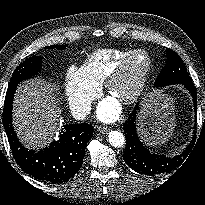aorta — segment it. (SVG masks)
I'll return each mask as SVG.
<instances>
[{"label": "aorta", "mask_w": 205, "mask_h": 205, "mask_svg": "<svg viewBox=\"0 0 205 205\" xmlns=\"http://www.w3.org/2000/svg\"><path fill=\"white\" fill-rule=\"evenodd\" d=\"M108 140L110 145L113 147H122L125 143V137L123 133L116 130L109 132Z\"/></svg>", "instance_id": "762f6f07"}]
</instances>
